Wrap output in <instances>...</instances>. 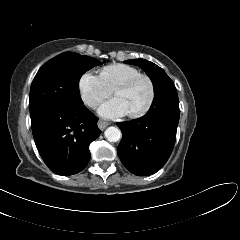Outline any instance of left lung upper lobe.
<instances>
[{
  "label": "left lung upper lobe",
  "instance_id": "left-lung-upper-lobe-1",
  "mask_svg": "<svg viewBox=\"0 0 240 240\" xmlns=\"http://www.w3.org/2000/svg\"><path fill=\"white\" fill-rule=\"evenodd\" d=\"M126 62L140 66L148 74L153 83L154 100L149 110L161 106L179 107L178 95L174 83L163 69L144 59H133Z\"/></svg>",
  "mask_w": 240,
  "mask_h": 240
}]
</instances>
